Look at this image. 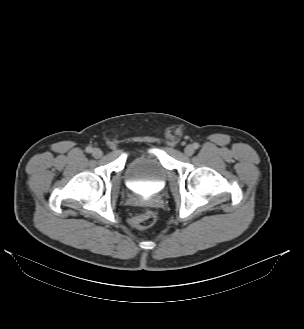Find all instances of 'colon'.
I'll list each match as a JSON object with an SVG mask.
<instances>
[{"label": "colon", "mask_w": 304, "mask_h": 329, "mask_svg": "<svg viewBox=\"0 0 304 329\" xmlns=\"http://www.w3.org/2000/svg\"><path fill=\"white\" fill-rule=\"evenodd\" d=\"M156 221V215L151 210H146L139 215L132 214L128 217L129 224L135 229H147Z\"/></svg>", "instance_id": "1"}]
</instances>
